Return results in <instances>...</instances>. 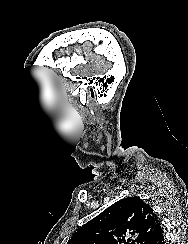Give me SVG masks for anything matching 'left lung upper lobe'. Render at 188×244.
I'll list each match as a JSON object with an SVG mask.
<instances>
[{"label":"left lung upper lobe","mask_w":188,"mask_h":244,"mask_svg":"<svg viewBox=\"0 0 188 244\" xmlns=\"http://www.w3.org/2000/svg\"><path fill=\"white\" fill-rule=\"evenodd\" d=\"M158 221L139 197L121 199L83 225L67 244H147Z\"/></svg>","instance_id":"1"}]
</instances>
